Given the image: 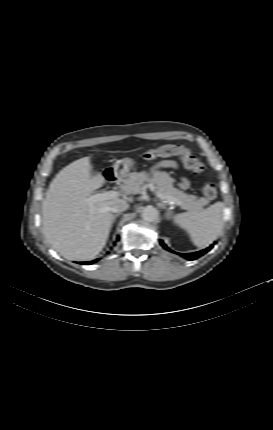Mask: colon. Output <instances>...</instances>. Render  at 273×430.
<instances>
[{"label":"colon","mask_w":273,"mask_h":430,"mask_svg":"<svg viewBox=\"0 0 273 430\" xmlns=\"http://www.w3.org/2000/svg\"><path fill=\"white\" fill-rule=\"evenodd\" d=\"M160 156H180L184 166L195 174L204 171L203 163L195 157L188 148L181 145H165L155 149L147 150L144 158L151 160ZM202 194L205 198L212 200L217 195L216 185L212 182H205L202 185Z\"/></svg>","instance_id":"5ec220e1"}]
</instances>
